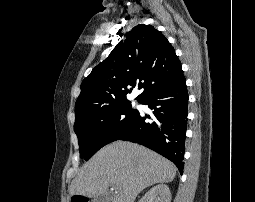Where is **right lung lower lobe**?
<instances>
[{
	"mask_svg": "<svg viewBox=\"0 0 255 202\" xmlns=\"http://www.w3.org/2000/svg\"><path fill=\"white\" fill-rule=\"evenodd\" d=\"M141 104L153 109V122L149 115L138 113L128 130L117 140L144 145L171 160L183 172L185 138L188 115V93L185 78L168 88L145 97Z\"/></svg>",
	"mask_w": 255,
	"mask_h": 202,
	"instance_id": "98d812e1",
	"label": "right lung lower lobe"
}]
</instances>
